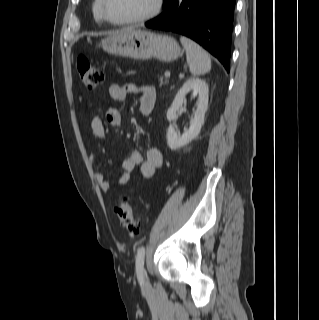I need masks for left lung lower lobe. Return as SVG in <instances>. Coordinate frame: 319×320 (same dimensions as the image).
Segmentation results:
<instances>
[{"label":"left lung lower lobe","instance_id":"obj_1","mask_svg":"<svg viewBox=\"0 0 319 320\" xmlns=\"http://www.w3.org/2000/svg\"><path fill=\"white\" fill-rule=\"evenodd\" d=\"M236 0H164V12L149 28L185 35L207 49L229 72Z\"/></svg>","mask_w":319,"mask_h":320}]
</instances>
